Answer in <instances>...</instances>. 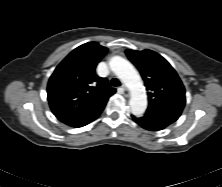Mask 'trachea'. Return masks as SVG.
I'll return each instance as SVG.
<instances>
[{
	"mask_svg": "<svg viewBox=\"0 0 222 187\" xmlns=\"http://www.w3.org/2000/svg\"><path fill=\"white\" fill-rule=\"evenodd\" d=\"M111 86L113 87H118L121 85L120 81L116 78L112 79L111 82H110Z\"/></svg>",
	"mask_w": 222,
	"mask_h": 187,
	"instance_id": "obj_1",
	"label": "trachea"
}]
</instances>
